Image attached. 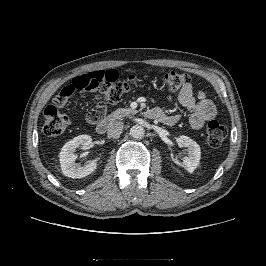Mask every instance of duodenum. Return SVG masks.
I'll return each instance as SVG.
<instances>
[{
    "mask_svg": "<svg viewBox=\"0 0 266 266\" xmlns=\"http://www.w3.org/2000/svg\"><path fill=\"white\" fill-rule=\"evenodd\" d=\"M145 115L149 119L158 121H164L166 117V115L160 109L157 108L147 110L145 112ZM88 118L89 121L95 125L96 131L101 135L105 134L110 129L113 123L112 118L105 117L98 111H91L88 114Z\"/></svg>",
    "mask_w": 266,
    "mask_h": 266,
    "instance_id": "410a0bca",
    "label": "duodenum"
}]
</instances>
